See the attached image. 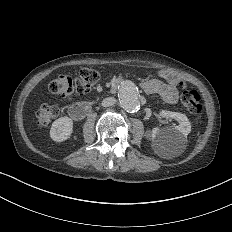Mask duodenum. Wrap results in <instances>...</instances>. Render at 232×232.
Returning <instances> with one entry per match:
<instances>
[{"label": "duodenum", "instance_id": "410a0bca", "mask_svg": "<svg viewBox=\"0 0 232 232\" xmlns=\"http://www.w3.org/2000/svg\"><path fill=\"white\" fill-rule=\"evenodd\" d=\"M121 84V80H115L112 85L111 89H116ZM91 111V104L90 103H78L70 106L68 113L69 116L74 120H81L85 118Z\"/></svg>", "mask_w": 232, "mask_h": 232}]
</instances>
